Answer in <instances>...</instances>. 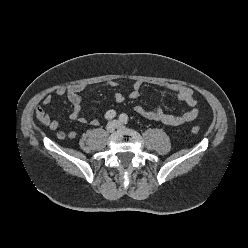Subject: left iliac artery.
I'll list each match as a JSON object with an SVG mask.
<instances>
[{"instance_id": "44dca946", "label": "left iliac artery", "mask_w": 248, "mask_h": 248, "mask_svg": "<svg viewBox=\"0 0 248 248\" xmlns=\"http://www.w3.org/2000/svg\"><path fill=\"white\" fill-rule=\"evenodd\" d=\"M119 119H120L121 122H123V123H125V124H127L128 121H129V118H128V116H127L125 113L121 114V115L119 116Z\"/></svg>"}]
</instances>
